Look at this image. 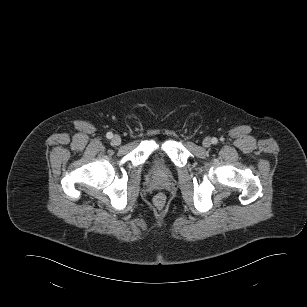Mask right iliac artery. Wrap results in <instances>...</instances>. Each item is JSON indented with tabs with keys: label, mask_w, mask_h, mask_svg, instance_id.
Segmentation results:
<instances>
[{
	"label": "right iliac artery",
	"mask_w": 307,
	"mask_h": 307,
	"mask_svg": "<svg viewBox=\"0 0 307 307\" xmlns=\"http://www.w3.org/2000/svg\"><path fill=\"white\" fill-rule=\"evenodd\" d=\"M106 137H107L108 139H111V138L113 137L112 132H108V133L106 134Z\"/></svg>",
	"instance_id": "obj_1"
}]
</instances>
